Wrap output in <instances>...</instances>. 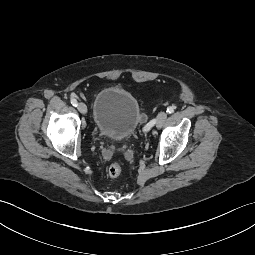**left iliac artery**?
I'll return each instance as SVG.
<instances>
[{
  "label": "left iliac artery",
  "instance_id": "44dca946",
  "mask_svg": "<svg viewBox=\"0 0 255 255\" xmlns=\"http://www.w3.org/2000/svg\"><path fill=\"white\" fill-rule=\"evenodd\" d=\"M175 110V106H169L166 110V112L168 114H172ZM155 124V119H153L152 121H150L145 127H144V131H148L150 130V128Z\"/></svg>",
  "mask_w": 255,
  "mask_h": 255
}]
</instances>
